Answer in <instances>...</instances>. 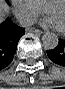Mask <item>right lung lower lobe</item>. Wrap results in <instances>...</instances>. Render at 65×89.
<instances>
[{"instance_id":"1","label":"right lung lower lobe","mask_w":65,"mask_h":89,"mask_svg":"<svg viewBox=\"0 0 65 89\" xmlns=\"http://www.w3.org/2000/svg\"><path fill=\"white\" fill-rule=\"evenodd\" d=\"M25 28H21L11 20L0 23V70L7 67L13 60L17 44Z\"/></svg>"}]
</instances>
